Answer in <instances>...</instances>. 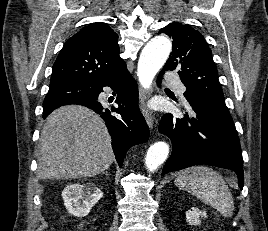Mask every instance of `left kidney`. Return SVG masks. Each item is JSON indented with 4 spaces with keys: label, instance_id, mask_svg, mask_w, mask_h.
Instances as JSON below:
<instances>
[{
    "label": "left kidney",
    "instance_id": "5707ae66",
    "mask_svg": "<svg viewBox=\"0 0 268 231\" xmlns=\"http://www.w3.org/2000/svg\"><path fill=\"white\" fill-rule=\"evenodd\" d=\"M186 221L189 225H199L201 223L200 218L207 217L205 211H201L198 208L192 207L190 210L186 212Z\"/></svg>",
    "mask_w": 268,
    "mask_h": 231
}]
</instances>
